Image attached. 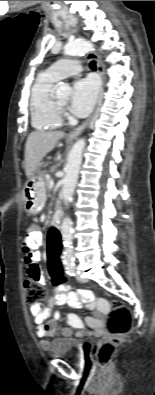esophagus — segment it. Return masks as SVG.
I'll return each mask as SVG.
<instances>
[{
	"instance_id": "34e87169",
	"label": "esophagus",
	"mask_w": 155,
	"mask_h": 395,
	"mask_svg": "<svg viewBox=\"0 0 155 395\" xmlns=\"http://www.w3.org/2000/svg\"><path fill=\"white\" fill-rule=\"evenodd\" d=\"M88 56L90 58H92L96 62L97 71H98V73H99V75L101 77L102 87H101V90H100V94H99V97H98V100H97V104H96V108H95L94 112L92 113V115L84 123H82L79 127H77L76 129H74L73 131H71L68 134V139L69 140H73V139L77 138L79 136V134L91 122V120L93 119V117L95 116V114L97 112L99 103L101 101V96H102V93H103V90H104L105 76H104V69H103L102 63H101L100 59L98 58V56L95 53L89 52Z\"/></svg>"
}]
</instances>
